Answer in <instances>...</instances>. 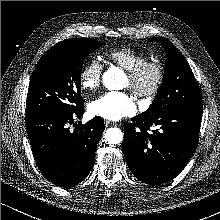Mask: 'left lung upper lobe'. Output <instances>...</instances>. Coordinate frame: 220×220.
I'll return each instance as SVG.
<instances>
[{
  "mask_svg": "<svg viewBox=\"0 0 220 220\" xmlns=\"http://www.w3.org/2000/svg\"><path fill=\"white\" fill-rule=\"evenodd\" d=\"M163 44L166 61L163 82L158 93L144 114L156 115L174 108L202 107L198 83L185 58L166 38H152Z\"/></svg>",
  "mask_w": 220,
  "mask_h": 220,
  "instance_id": "5c2ea615",
  "label": "left lung upper lobe"
}]
</instances>
